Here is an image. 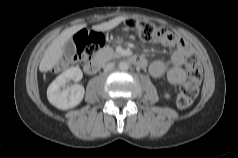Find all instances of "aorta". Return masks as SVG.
<instances>
[{
	"label": "aorta",
	"instance_id": "obj_1",
	"mask_svg": "<svg viewBox=\"0 0 238 158\" xmlns=\"http://www.w3.org/2000/svg\"><path fill=\"white\" fill-rule=\"evenodd\" d=\"M119 69L121 71H127L129 69V63L128 62H125V61H121L119 63Z\"/></svg>",
	"mask_w": 238,
	"mask_h": 158
}]
</instances>
